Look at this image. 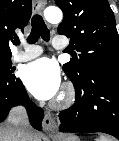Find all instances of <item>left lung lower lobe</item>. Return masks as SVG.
Here are the masks:
<instances>
[{
	"instance_id": "1",
	"label": "left lung lower lobe",
	"mask_w": 119,
	"mask_h": 141,
	"mask_svg": "<svg viewBox=\"0 0 119 141\" xmlns=\"http://www.w3.org/2000/svg\"><path fill=\"white\" fill-rule=\"evenodd\" d=\"M73 84L75 103L59 113V130L104 132L119 139V73H98Z\"/></svg>"
}]
</instances>
